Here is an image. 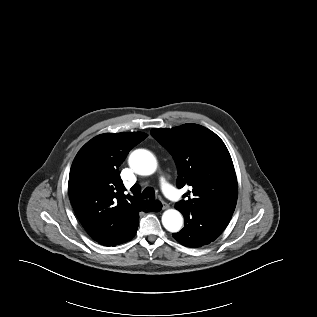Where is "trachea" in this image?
Wrapping results in <instances>:
<instances>
[{
    "mask_svg": "<svg viewBox=\"0 0 317 317\" xmlns=\"http://www.w3.org/2000/svg\"><path fill=\"white\" fill-rule=\"evenodd\" d=\"M142 198H149L151 200L155 199V191L153 188L151 187H147L143 190L142 194H141Z\"/></svg>",
    "mask_w": 317,
    "mask_h": 317,
    "instance_id": "obj_1",
    "label": "trachea"
}]
</instances>
